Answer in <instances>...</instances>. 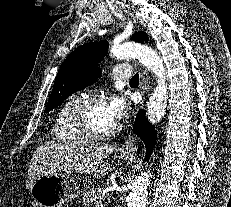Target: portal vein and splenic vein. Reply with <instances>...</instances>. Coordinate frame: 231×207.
Listing matches in <instances>:
<instances>
[{"label":"portal vein and splenic vein","mask_w":231,"mask_h":207,"mask_svg":"<svg viewBox=\"0 0 231 207\" xmlns=\"http://www.w3.org/2000/svg\"><path fill=\"white\" fill-rule=\"evenodd\" d=\"M95 207H103V204L100 202V203H96Z\"/></svg>","instance_id":"1"}]
</instances>
